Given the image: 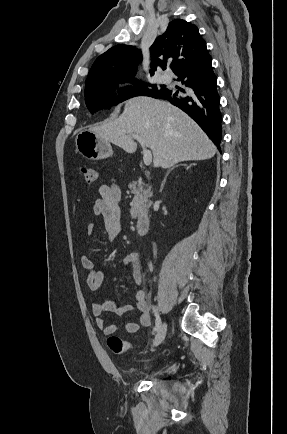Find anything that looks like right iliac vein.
I'll list each match as a JSON object with an SVG mask.
<instances>
[{
  "label": "right iliac vein",
  "mask_w": 287,
  "mask_h": 434,
  "mask_svg": "<svg viewBox=\"0 0 287 434\" xmlns=\"http://www.w3.org/2000/svg\"><path fill=\"white\" fill-rule=\"evenodd\" d=\"M166 331H167V325L164 323L161 328L159 329L154 341H153V346L156 347L158 345H160L162 343V341L165 338L166 335Z\"/></svg>",
  "instance_id": "right-iliac-vein-1"
}]
</instances>
